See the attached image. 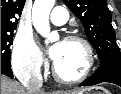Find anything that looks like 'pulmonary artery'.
<instances>
[{"label":"pulmonary artery","mask_w":121,"mask_h":94,"mask_svg":"<svg viewBox=\"0 0 121 94\" xmlns=\"http://www.w3.org/2000/svg\"><path fill=\"white\" fill-rule=\"evenodd\" d=\"M68 11L66 8L57 6L52 10L50 20L55 25H63L67 22Z\"/></svg>","instance_id":"obj_1"}]
</instances>
